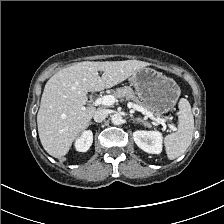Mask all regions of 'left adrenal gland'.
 Here are the masks:
<instances>
[{
  "mask_svg": "<svg viewBox=\"0 0 224 224\" xmlns=\"http://www.w3.org/2000/svg\"><path fill=\"white\" fill-rule=\"evenodd\" d=\"M134 122H136V123H142L144 126H147V127H150L151 126L148 122L144 121L141 118L134 119Z\"/></svg>",
  "mask_w": 224,
  "mask_h": 224,
  "instance_id": "obj_1",
  "label": "left adrenal gland"
}]
</instances>
